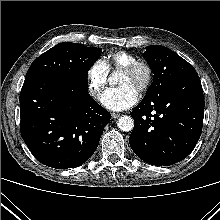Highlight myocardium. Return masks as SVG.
<instances>
[{"label": "myocardium", "instance_id": "f54148a6", "mask_svg": "<svg viewBox=\"0 0 220 220\" xmlns=\"http://www.w3.org/2000/svg\"><path fill=\"white\" fill-rule=\"evenodd\" d=\"M123 72L134 75L138 72H143L144 78L138 87L139 93H145L152 85L153 82V69L145 61L137 60L123 68Z\"/></svg>", "mask_w": 220, "mask_h": 220}]
</instances>
